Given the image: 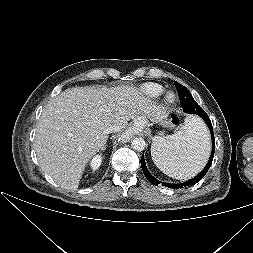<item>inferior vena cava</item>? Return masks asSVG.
I'll return each instance as SVG.
<instances>
[{
  "mask_svg": "<svg viewBox=\"0 0 253 253\" xmlns=\"http://www.w3.org/2000/svg\"><path fill=\"white\" fill-rule=\"evenodd\" d=\"M117 131H119V128H118V127H116V128H108V129L106 130L107 133H112V132H117Z\"/></svg>",
  "mask_w": 253,
  "mask_h": 253,
  "instance_id": "obj_1",
  "label": "inferior vena cava"
}]
</instances>
